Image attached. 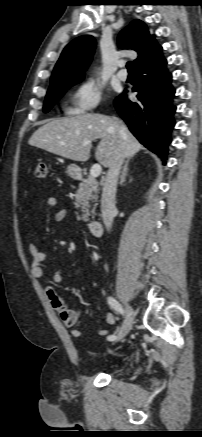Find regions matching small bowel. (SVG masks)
Instances as JSON below:
<instances>
[{
  "label": "small bowel",
  "mask_w": 202,
  "mask_h": 437,
  "mask_svg": "<svg viewBox=\"0 0 202 437\" xmlns=\"http://www.w3.org/2000/svg\"><path fill=\"white\" fill-rule=\"evenodd\" d=\"M47 205L49 207H56L58 205V199L56 197H49L47 199ZM67 217V211L60 209L55 213V219L57 221L64 220ZM29 252L31 255V274L34 278H41L44 274L45 261L47 260V254L40 251L35 244H29ZM62 274L60 271L53 273V282L60 284L62 282ZM45 295L49 301L51 307L59 314L62 322L68 328H73L78 323L80 317L83 315L84 310H72L67 307L64 300L58 295L56 290L52 286L45 288ZM105 321L108 326L115 323V317L112 313L105 315ZM83 333L82 329L74 328L71 331L72 336L79 337ZM98 334L106 336L109 334V327H103L99 329Z\"/></svg>",
  "instance_id": "small-bowel-1"
}]
</instances>
